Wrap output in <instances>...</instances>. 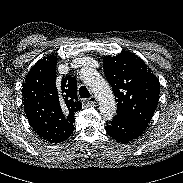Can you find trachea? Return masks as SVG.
I'll use <instances>...</instances> for the list:
<instances>
[{"instance_id":"3493384b","label":"trachea","mask_w":183,"mask_h":183,"mask_svg":"<svg viewBox=\"0 0 183 183\" xmlns=\"http://www.w3.org/2000/svg\"><path fill=\"white\" fill-rule=\"evenodd\" d=\"M79 95L81 98H89L90 97V93L85 86H81L79 88Z\"/></svg>"}]
</instances>
